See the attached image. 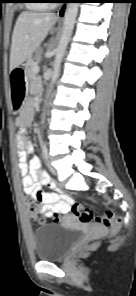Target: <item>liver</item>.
<instances>
[{"mask_svg": "<svg viewBox=\"0 0 136 296\" xmlns=\"http://www.w3.org/2000/svg\"><path fill=\"white\" fill-rule=\"evenodd\" d=\"M54 13L22 12L14 26L10 51V70L31 58L57 21Z\"/></svg>", "mask_w": 136, "mask_h": 296, "instance_id": "6515ba94", "label": "liver"}]
</instances>
